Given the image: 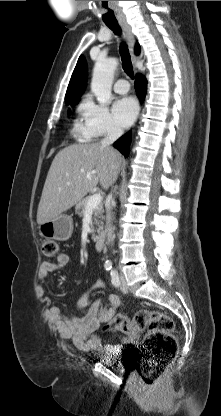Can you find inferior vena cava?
<instances>
[{
    "instance_id": "obj_1",
    "label": "inferior vena cava",
    "mask_w": 221,
    "mask_h": 416,
    "mask_svg": "<svg viewBox=\"0 0 221 416\" xmlns=\"http://www.w3.org/2000/svg\"><path fill=\"white\" fill-rule=\"evenodd\" d=\"M123 134V130L120 127L111 125L107 131V135L101 140V146L104 148H108L111 151L114 149L111 147V145ZM112 198V194L108 196V199L110 200ZM106 235H107V241L108 243H113L114 241V234L113 229L111 225V206L108 204L106 206Z\"/></svg>"
}]
</instances>
